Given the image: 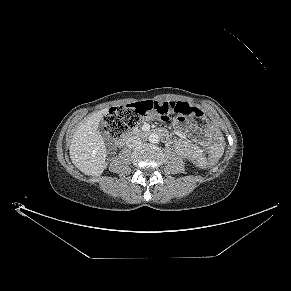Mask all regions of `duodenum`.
<instances>
[{
	"mask_svg": "<svg viewBox=\"0 0 291 291\" xmlns=\"http://www.w3.org/2000/svg\"><path fill=\"white\" fill-rule=\"evenodd\" d=\"M158 133L163 134L161 131H158ZM136 134H145V132H131L129 134H127L126 136L120 138L117 141V145L119 147L123 146L128 140H130L131 138L135 137Z\"/></svg>",
	"mask_w": 291,
	"mask_h": 291,
	"instance_id": "1",
	"label": "duodenum"
}]
</instances>
